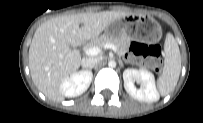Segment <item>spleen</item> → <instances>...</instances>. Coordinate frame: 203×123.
Here are the masks:
<instances>
[{"instance_id": "1", "label": "spleen", "mask_w": 203, "mask_h": 123, "mask_svg": "<svg viewBox=\"0 0 203 123\" xmlns=\"http://www.w3.org/2000/svg\"><path fill=\"white\" fill-rule=\"evenodd\" d=\"M165 67L157 80V87L162 96L173 92L181 71V55L175 39L170 36L164 47Z\"/></svg>"}]
</instances>
